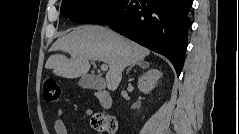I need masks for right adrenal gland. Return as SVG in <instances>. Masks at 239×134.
<instances>
[{
    "instance_id": "obj_1",
    "label": "right adrenal gland",
    "mask_w": 239,
    "mask_h": 134,
    "mask_svg": "<svg viewBox=\"0 0 239 134\" xmlns=\"http://www.w3.org/2000/svg\"><path fill=\"white\" fill-rule=\"evenodd\" d=\"M145 62L144 61H141V62H138L137 65H139L140 67H143V64ZM134 65H131L128 69H127V73L133 68ZM146 67H148V64H146Z\"/></svg>"
}]
</instances>
